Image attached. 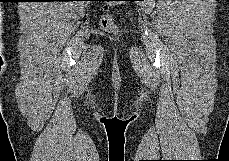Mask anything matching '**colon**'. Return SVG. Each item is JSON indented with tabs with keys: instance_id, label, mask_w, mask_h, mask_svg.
I'll list each match as a JSON object with an SVG mask.
<instances>
[{
	"instance_id": "obj_1",
	"label": "colon",
	"mask_w": 229,
	"mask_h": 161,
	"mask_svg": "<svg viewBox=\"0 0 229 161\" xmlns=\"http://www.w3.org/2000/svg\"><path fill=\"white\" fill-rule=\"evenodd\" d=\"M115 4H110L114 6ZM100 27L108 33L115 34L117 32V25L114 22L113 16L110 13H106L101 16L99 20Z\"/></svg>"
}]
</instances>
